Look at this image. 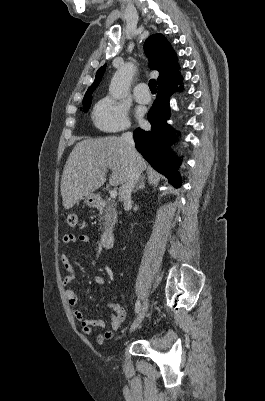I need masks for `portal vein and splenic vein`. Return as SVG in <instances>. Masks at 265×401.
I'll list each match as a JSON object with an SVG mask.
<instances>
[{"label":"portal vein and splenic vein","instance_id":"1","mask_svg":"<svg viewBox=\"0 0 265 401\" xmlns=\"http://www.w3.org/2000/svg\"><path fill=\"white\" fill-rule=\"evenodd\" d=\"M97 170H100V168H97ZM110 196H111V198H116L117 190H110Z\"/></svg>","mask_w":265,"mask_h":401}]
</instances>
